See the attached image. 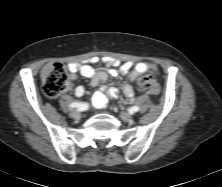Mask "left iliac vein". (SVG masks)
<instances>
[{
    "mask_svg": "<svg viewBox=\"0 0 222 187\" xmlns=\"http://www.w3.org/2000/svg\"><path fill=\"white\" fill-rule=\"evenodd\" d=\"M120 118L125 122H130L133 120V116L127 112H121Z\"/></svg>",
    "mask_w": 222,
    "mask_h": 187,
    "instance_id": "obj_1",
    "label": "left iliac vein"
}]
</instances>
